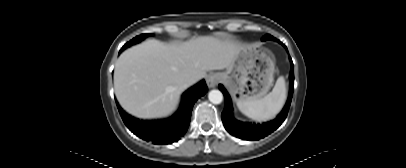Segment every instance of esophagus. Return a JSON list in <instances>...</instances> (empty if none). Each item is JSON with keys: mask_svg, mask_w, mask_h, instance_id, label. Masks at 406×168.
Listing matches in <instances>:
<instances>
[{"mask_svg": "<svg viewBox=\"0 0 406 168\" xmlns=\"http://www.w3.org/2000/svg\"><path fill=\"white\" fill-rule=\"evenodd\" d=\"M220 80V77L217 73H211L206 78V83L209 88H214Z\"/></svg>", "mask_w": 406, "mask_h": 168, "instance_id": "1", "label": "esophagus"}]
</instances>
